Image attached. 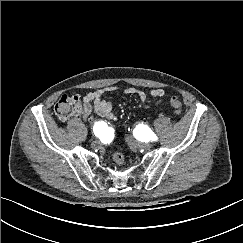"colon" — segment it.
<instances>
[{
  "instance_id": "colon-1",
  "label": "colon",
  "mask_w": 243,
  "mask_h": 243,
  "mask_svg": "<svg viewBox=\"0 0 243 243\" xmlns=\"http://www.w3.org/2000/svg\"><path fill=\"white\" fill-rule=\"evenodd\" d=\"M169 103L177 115L182 113V103L176 96H171L169 98ZM80 104L81 100L78 96L64 94L55 104V115L59 120H66L74 114V112L79 108ZM113 158L118 166L123 165L124 157L121 153H114Z\"/></svg>"
}]
</instances>
